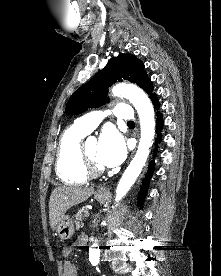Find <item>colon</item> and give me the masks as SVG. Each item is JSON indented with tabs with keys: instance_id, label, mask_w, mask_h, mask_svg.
Listing matches in <instances>:
<instances>
[{
	"instance_id": "1",
	"label": "colon",
	"mask_w": 221,
	"mask_h": 276,
	"mask_svg": "<svg viewBox=\"0 0 221 276\" xmlns=\"http://www.w3.org/2000/svg\"><path fill=\"white\" fill-rule=\"evenodd\" d=\"M53 246L54 247H65L66 243L65 242H54Z\"/></svg>"
}]
</instances>
